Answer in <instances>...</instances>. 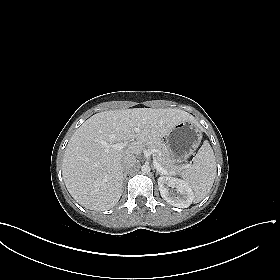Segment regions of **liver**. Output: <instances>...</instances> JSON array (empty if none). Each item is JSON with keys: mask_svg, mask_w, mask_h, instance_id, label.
I'll return each instance as SVG.
<instances>
[{"mask_svg": "<svg viewBox=\"0 0 280 280\" xmlns=\"http://www.w3.org/2000/svg\"><path fill=\"white\" fill-rule=\"evenodd\" d=\"M182 121L192 122L194 117L176 108L109 110L91 116L74 132L64 152L62 175L69 193L87 209L113 208L122 193L123 158L140 155ZM130 139L126 149L113 147Z\"/></svg>", "mask_w": 280, "mask_h": 280, "instance_id": "1", "label": "liver"}]
</instances>
